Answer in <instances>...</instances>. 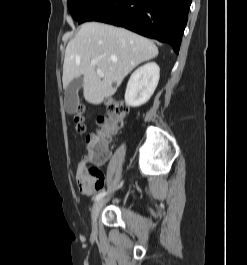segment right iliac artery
Here are the masks:
<instances>
[{
  "label": "right iliac artery",
  "mask_w": 247,
  "mask_h": 265,
  "mask_svg": "<svg viewBox=\"0 0 247 265\" xmlns=\"http://www.w3.org/2000/svg\"><path fill=\"white\" fill-rule=\"evenodd\" d=\"M120 186H122V182H121V184L118 186V188H119ZM106 194H107V193H106L105 191L98 193V194L95 196L94 201H98V200H100V199L103 198Z\"/></svg>",
  "instance_id": "right-iliac-artery-1"
}]
</instances>
